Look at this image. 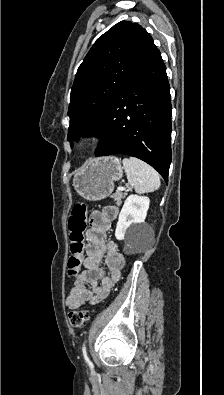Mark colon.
Returning a JSON list of instances; mask_svg holds the SVG:
<instances>
[{"mask_svg": "<svg viewBox=\"0 0 224 395\" xmlns=\"http://www.w3.org/2000/svg\"><path fill=\"white\" fill-rule=\"evenodd\" d=\"M88 207L86 204H76L68 219L70 250L72 255L68 259V275L76 276L81 267L84 252V232L87 226ZM69 323L74 328L82 327L88 320V313L84 309H74L69 312Z\"/></svg>", "mask_w": 224, "mask_h": 395, "instance_id": "colon-1", "label": "colon"}]
</instances>
